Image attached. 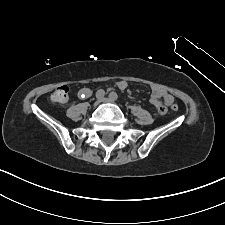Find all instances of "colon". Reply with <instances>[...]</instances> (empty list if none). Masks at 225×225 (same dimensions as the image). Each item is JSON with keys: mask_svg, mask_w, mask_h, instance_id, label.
Returning a JSON list of instances; mask_svg holds the SVG:
<instances>
[{"mask_svg": "<svg viewBox=\"0 0 225 225\" xmlns=\"http://www.w3.org/2000/svg\"><path fill=\"white\" fill-rule=\"evenodd\" d=\"M69 98V87L65 84L59 85L51 94V100L55 103H65ZM171 110L178 111L179 106L177 104L171 105ZM159 114L163 115L167 112L164 106L158 108Z\"/></svg>", "mask_w": 225, "mask_h": 225, "instance_id": "colon-1", "label": "colon"}]
</instances>
